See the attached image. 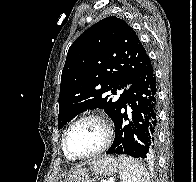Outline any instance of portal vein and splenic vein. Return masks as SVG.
<instances>
[{
	"instance_id": "18ae733b",
	"label": "portal vein and splenic vein",
	"mask_w": 196,
	"mask_h": 182,
	"mask_svg": "<svg viewBox=\"0 0 196 182\" xmlns=\"http://www.w3.org/2000/svg\"><path fill=\"white\" fill-rule=\"evenodd\" d=\"M101 182H107L106 180H101Z\"/></svg>"
}]
</instances>
